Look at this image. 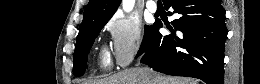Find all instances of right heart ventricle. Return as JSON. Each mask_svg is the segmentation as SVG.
I'll return each instance as SVG.
<instances>
[{"mask_svg": "<svg viewBox=\"0 0 260 84\" xmlns=\"http://www.w3.org/2000/svg\"><path fill=\"white\" fill-rule=\"evenodd\" d=\"M98 63L100 65V67L106 68L109 65V61L108 58L105 54V52H101L98 58Z\"/></svg>", "mask_w": 260, "mask_h": 84, "instance_id": "1", "label": "right heart ventricle"}]
</instances>
